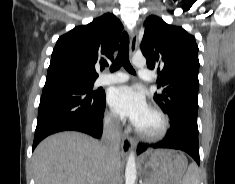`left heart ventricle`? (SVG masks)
Masks as SVG:
<instances>
[{
  "label": "left heart ventricle",
  "instance_id": "1",
  "mask_svg": "<svg viewBox=\"0 0 235 184\" xmlns=\"http://www.w3.org/2000/svg\"><path fill=\"white\" fill-rule=\"evenodd\" d=\"M158 126L159 120L157 116L151 110H149L137 128L142 132L150 133L155 131Z\"/></svg>",
  "mask_w": 235,
  "mask_h": 184
}]
</instances>
